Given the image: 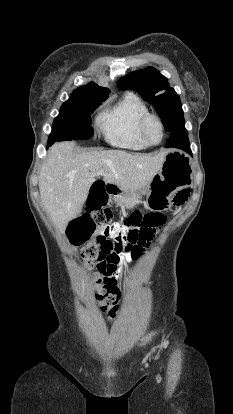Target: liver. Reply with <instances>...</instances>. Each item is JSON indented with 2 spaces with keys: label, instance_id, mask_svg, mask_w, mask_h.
Here are the masks:
<instances>
[{
  "label": "liver",
  "instance_id": "obj_1",
  "mask_svg": "<svg viewBox=\"0 0 233 414\" xmlns=\"http://www.w3.org/2000/svg\"><path fill=\"white\" fill-rule=\"evenodd\" d=\"M75 145L74 141L55 143L39 174L42 204L60 230L80 215L98 176H102L106 184H115L128 193L126 197L116 196L115 201L124 202L127 208L138 204L168 153L144 155L107 150L75 154ZM99 171L102 174H98Z\"/></svg>",
  "mask_w": 233,
  "mask_h": 414
}]
</instances>
